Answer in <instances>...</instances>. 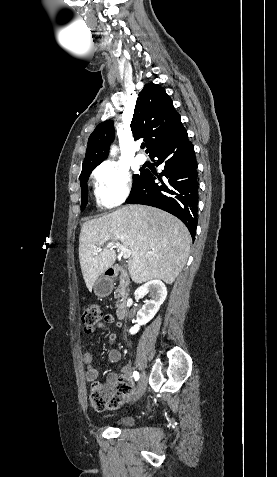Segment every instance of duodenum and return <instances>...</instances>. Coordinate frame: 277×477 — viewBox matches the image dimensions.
I'll use <instances>...</instances> for the list:
<instances>
[{
  "label": "duodenum",
  "mask_w": 277,
  "mask_h": 477,
  "mask_svg": "<svg viewBox=\"0 0 277 477\" xmlns=\"http://www.w3.org/2000/svg\"><path fill=\"white\" fill-rule=\"evenodd\" d=\"M106 275L110 280L119 278L122 284H125L127 282V273L125 272V270H123L120 267H112L108 269L106 272ZM127 313H128L127 302L126 300H122L116 309L117 318L120 320H123L126 318Z\"/></svg>",
  "instance_id": "obj_1"
}]
</instances>
